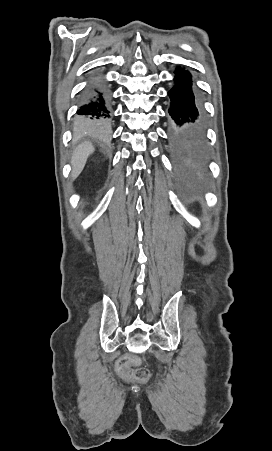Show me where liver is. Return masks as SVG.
I'll use <instances>...</instances> for the list:
<instances>
[{
  "instance_id": "1",
  "label": "liver",
  "mask_w": 272,
  "mask_h": 451,
  "mask_svg": "<svg viewBox=\"0 0 272 451\" xmlns=\"http://www.w3.org/2000/svg\"><path fill=\"white\" fill-rule=\"evenodd\" d=\"M93 152L94 148L92 144H90V142H84V144H80V146H77V148H75L74 154H72L71 158L72 180H76V178H78L87 162L88 156H90V154H93Z\"/></svg>"
}]
</instances>
